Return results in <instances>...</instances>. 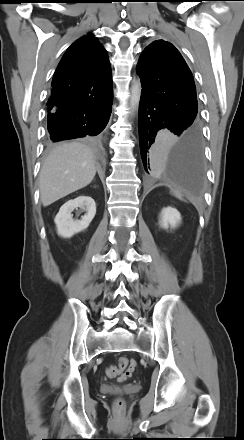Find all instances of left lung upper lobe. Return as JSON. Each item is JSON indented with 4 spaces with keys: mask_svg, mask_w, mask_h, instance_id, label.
Wrapping results in <instances>:
<instances>
[{
    "mask_svg": "<svg viewBox=\"0 0 244 440\" xmlns=\"http://www.w3.org/2000/svg\"><path fill=\"white\" fill-rule=\"evenodd\" d=\"M136 72L141 79L142 94L164 105L182 124L200 131L194 79L171 43L157 40L147 46Z\"/></svg>",
    "mask_w": 244,
    "mask_h": 440,
    "instance_id": "5c2ea615",
    "label": "left lung upper lobe"
}]
</instances>
